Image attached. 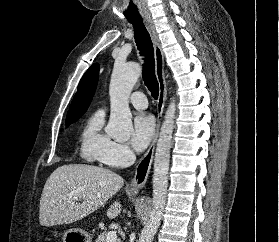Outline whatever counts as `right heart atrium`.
Masks as SVG:
<instances>
[{
	"label": "right heart atrium",
	"mask_w": 279,
	"mask_h": 242,
	"mask_svg": "<svg viewBox=\"0 0 279 242\" xmlns=\"http://www.w3.org/2000/svg\"><path fill=\"white\" fill-rule=\"evenodd\" d=\"M133 159V153L125 143L113 141L109 149L103 155L101 162L113 168L128 165Z\"/></svg>",
	"instance_id": "1"
}]
</instances>
